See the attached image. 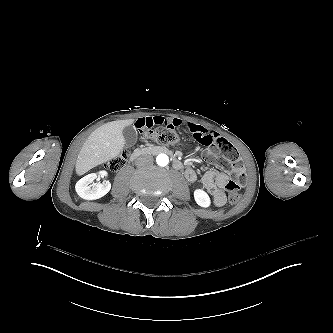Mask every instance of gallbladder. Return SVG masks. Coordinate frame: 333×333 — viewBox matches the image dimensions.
<instances>
[{"label":"gallbladder","mask_w":333,"mask_h":333,"mask_svg":"<svg viewBox=\"0 0 333 333\" xmlns=\"http://www.w3.org/2000/svg\"><path fill=\"white\" fill-rule=\"evenodd\" d=\"M123 136L127 146H132L137 141V131L133 126H126L123 129Z\"/></svg>","instance_id":"obj_1"}]
</instances>
